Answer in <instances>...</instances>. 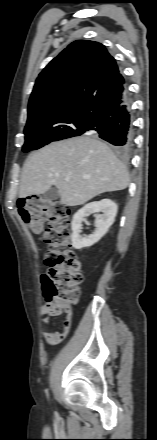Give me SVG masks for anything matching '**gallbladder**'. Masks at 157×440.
<instances>
[{
	"mask_svg": "<svg viewBox=\"0 0 157 440\" xmlns=\"http://www.w3.org/2000/svg\"><path fill=\"white\" fill-rule=\"evenodd\" d=\"M59 197H60L59 191L54 187L50 188L48 191H46L43 194V198L48 201L57 200V199H59Z\"/></svg>",
	"mask_w": 157,
	"mask_h": 440,
	"instance_id": "gallbladder-1",
	"label": "gallbladder"
}]
</instances>
